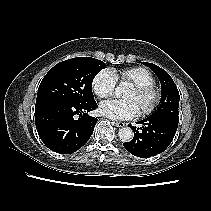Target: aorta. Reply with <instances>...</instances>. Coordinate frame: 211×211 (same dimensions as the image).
<instances>
[{
	"instance_id": "1",
	"label": "aorta",
	"mask_w": 211,
	"mask_h": 211,
	"mask_svg": "<svg viewBox=\"0 0 211 211\" xmlns=\"http://www.w3.org/2000/svg\"><path fill=\"white\" fill-rule=\"evenodd\" d=\"M126 85L127 84H125V83H121L118 87H116L115 93H116L117 97H121L122 96V94L125 91ZM133 135H134L133 131L129 127H123L121 129H119V131H118V137H119L120 141H122V142H129V141H131L132 138H133Z\"/></svg>"
}]
</instances>
